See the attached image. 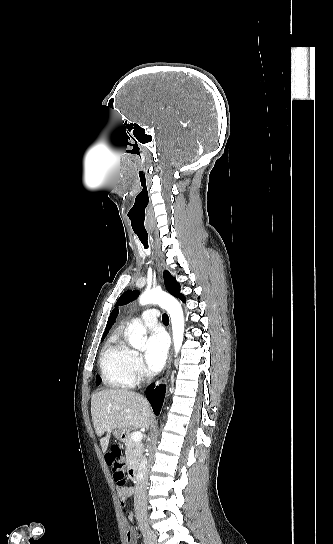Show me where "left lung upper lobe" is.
Masks as SVG:
<instances>
[{"mask_svg": "<svg viewBox=\"0 0 333 544\" xmlns=\"http://www.w3.org/2000/svg\"><path fill=\"white\" fill-rule=\"evenodd\" d=\"M164 282H165V285L167 287V290L172 295H174L177 298H180L182 301H185V297L183 296V294L180 293L179 283L176 281V279L168 271H164ZM137 296H138L137 291L128 290V291L124 292L119 297V299H118V301H117V303L115 305L116 306L125 305V304L133 301L134 299H136Z\"/></svg>", "mask_w": 333, "mask_h": 544, "instance_id": "left-lung-upper-lobe-1", "label": "left lung upper lobe"}]
</instances>
